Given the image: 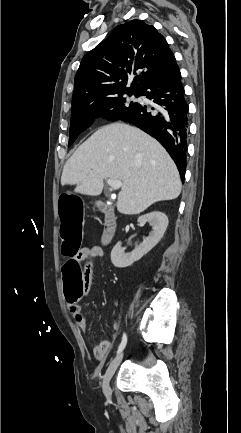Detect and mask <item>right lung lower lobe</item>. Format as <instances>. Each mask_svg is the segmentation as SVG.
<instances>
[{"label": "right lung lower lobe", "mask_w": 241, "mask_h": 433, "mask_svg": "<svg viewBox=\"0 0 241 433\" xmlns=\"http://www.w3.org/2000/svg\"><path fill=\"white\" fill-rule=\"evenodd\" d=\"M138 92L152 100L155 107L138 103L121 120L134 124L156 138L166 148L184 180L189 108L177 64L174 63L168 71L152 79Z\"/></svg>", "instance_id": "obj_1"}]
</instances>
